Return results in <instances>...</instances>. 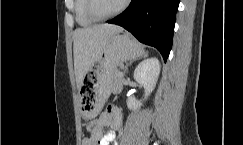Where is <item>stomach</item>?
Returning a JSON list of instances; mask_svg holds the SVG:
<instances>
[{"label": "stomach", "mask_w": 243, "mask_h": 145, "mask_svg": "<svg viewBox=\"0 0 243 145\" xmlns=\"http://www.w3.org/2000/svg\"><path fill=\"white\" fill-rule=\"evenodd\" d=\"M144 54L143 48L127 34H114L105 47L99 60L94 63L82 82L80 102L83 116H98L105 99L109 95L116 68L125 61L136 59Z\"/></svg>", "instance_id": "1"}]
</instances>
